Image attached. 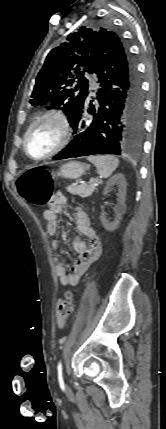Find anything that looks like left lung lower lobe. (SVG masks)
<instances>
[{
    "label": "left lung lower lobe",
    "mask_w": 166,
    "mask_h": 429,
    "mask_svg": "<svg viewBox=\"0 0 166 429\" xmlns=\"http://www.w3.org/2000/svg\"><path fill=\"white\" fill-rule=\"evenodd\" d=\"M99 44L92 73L98 77V105L88 90L72 125L75 137L53 159L96 154L136 155L144 130V99L135 62L119 36ZM91 73V74H92Z\"/></svg>",
    "instance_id": "1"
}]
</instances>
